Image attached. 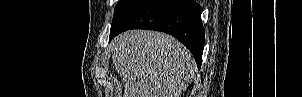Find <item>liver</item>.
<instances>
[{
    "mask_svg": "<svg viewBox=\"0 0 302 97\" xmlns=\"http://www.w3.org/2000/svg\"><path fill=\"white\" fill-rule=\"evenodd\" d=\"M112 48L123 97H179L197 71L188 49L166 33L127 31L114 38Z\"/></svg>",
    "mask_w": 302,
    "mask_h": 97,
    "instance_id": "liver-1",
    "label": "liver"
}]
</instances>
